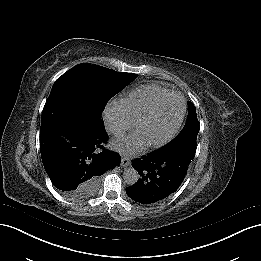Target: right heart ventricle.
<instances>
[{
  "label": "right heart ventricle",
  "instance_id": "e07e8e85",
  "mask_svg": "<svg viewBox=\"0 0 261 261\" xmlns=\"http://www.w3.org/2000/svg\"><path fill=\"white\" fill-rule=\"evenodd\" d=\"M173 95V92L157 83L141 86L132 90L116 103V109L125 121H132L142 113L161 104Z\"/></svg>",
  "mask_w": 261,
  "mask_h": 261
}]
</instances>
